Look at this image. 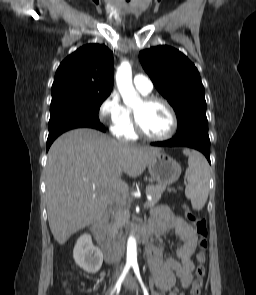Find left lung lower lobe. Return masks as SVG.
<instances>
[{"label":"left lung lower lobe","mask_w":256,"mask_h":295,"mask_svg":"<svg viewBox=\"0 0 256 295\" xmlns=\"http://www.w3.org/2000/svg\"><path fill=\"white\" fill-rule=\"evenodd\" d=\"M151 145L168 147H190L202 152L207 160L210 162V139L208 133H186L181 136H175L173 139L167 141L152 143Z\"/></svg>","instance_id":"1"}]
</instances>
